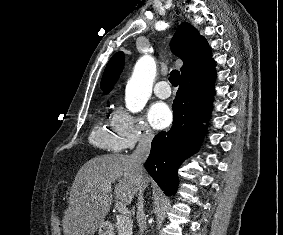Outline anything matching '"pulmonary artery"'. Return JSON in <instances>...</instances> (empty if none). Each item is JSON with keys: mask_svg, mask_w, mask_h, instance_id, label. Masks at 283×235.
Returning a JSON list of instances; mask_svg holds the SVG:
<instances>
[{"mask_svg": "<svg viewBox=\"0 0 283 235\" xmlns=\"http://www.w3.org/2000/svg\"><path fill=\"white\" fill-rule=\"evenodd\" d=\"M154 94L160 99H166L171 96V89L167 81H159L154 87Z\"/></svg>", "mask_w": 283, "mask_h": 235, "instance_id": "e3ab8cb5", "label": "pulmonary artery"}]
</instances>
